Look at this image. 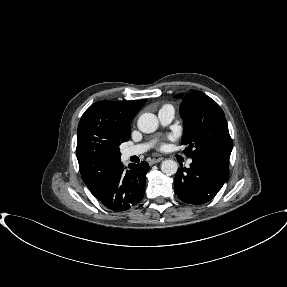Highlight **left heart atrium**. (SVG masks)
<instances>
[{"mask_svg": "<svg viewBox=\"0 0 287 287\" xmlns=\"http://www.w3.org/2000/svg\"><path fill=\"white\" fill-rule=\"evenodd\" d=\"M163 146H164V144H163V143H161V144H160V147H163Z\"/></svg>", "mask_w": 287, "mask_h": 287, "instance_id": "1", "label": "left heart atrium"}]
</instances>
